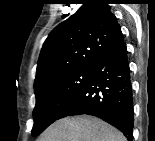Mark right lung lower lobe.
I'll return each instance as SVG.
<instances>
[{
  "label": "right lung lower lobe",
  "mask_w": 155,
  "mask_h": 141,
  "mask_svg": "<svg viewBox=\"0 0 155 141\" xmlns=\"http://www.w3.org/2000/svg\"><path fill=\"white\" fill-rule=\"evenodd\" d=\"M78 114L98 116L132 140V85L123 35L102 55L82 90L59 119Z\"/></svg>",
  "instance_id": "obj_1"
}]
</instances>
